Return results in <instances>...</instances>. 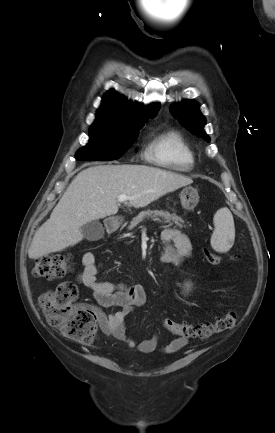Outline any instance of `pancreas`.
I'll use <instances>...</instances> for the list:
<instances>
[{
    "mask_svg": "<svg viewBox=\"0 0 275 433\" xmlns=\"http://www.w3.org/2000/svg\"><path fill=\"white\" fill-rule=\"evenodd\" d=\"M149 216H158L164 220V223H168L169 225L175 224L179 228H185L184 220L177 216L176 214H170L167 211H159V210H147L142 211L138 214V216L134 217L128 226V230H132L136 227L140 222H142L145 218Z\"/></svg>",
    "mask_w": 275,
    "mask_h": 433,
    "instance_id": "pancreas-1",
    "label": "pancreas"
}]
</instances>
